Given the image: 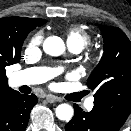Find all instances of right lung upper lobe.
Listing matches in <instances>:
<instances>
[{"instance_id":"cb5924a9","label":"right lung upper lobe","mask_w":131,"mask_h":131,"mask_svg":"<svg viewBox=\"0 0 131 131\" xmlns=\"http://www.w3.org/2000/svg\"><path fill=\"white\" fill-rule=\"evenodd\" d=\"M45 22V19L26 17L0 19V100L18 92L8 86L5 67L9 58L17 56L16 37L20 28L30 24L41 26Z\"/></svg>"}]
</instances>
